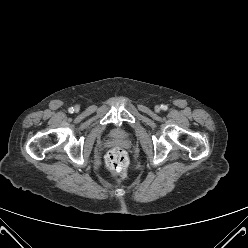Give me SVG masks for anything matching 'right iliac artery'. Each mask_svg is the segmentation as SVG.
<instances>
[{"mask_svg":"<svg viewBox=\"0 0 248 248\" xmlns=\"http://www.w3.org/2000/svg\"><path fill=\"white\" fill-rule=\"evenodd\" d=\"M69 113H73L74 112V109H73V107H71V108H69Z\"/></svg>","mask_w":248,"mask_h":248,"instance_id":"1","label":"right iliac artery"}]
</instances>
